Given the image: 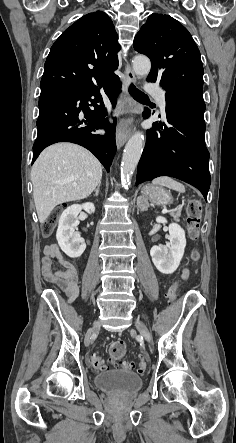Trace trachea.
I'll return each instance as SVG.
<instances>
[{"label": "trachea", "mask_w": 236, "mask_h": 443, "mask_svg": "<svg viewBox=\"0 0 236 443\" xmlns=\"http://www.w3.org/2000/svg\"><path fill=\"white\" fill-rule=\"evenodd\" d=\"M129 93L137 101L144 102L149 100L148 96L143 92H141L140 90H138L134 85L129 86Z\"/></svg>", "instance_id": "obj_1"}]
</instances>
